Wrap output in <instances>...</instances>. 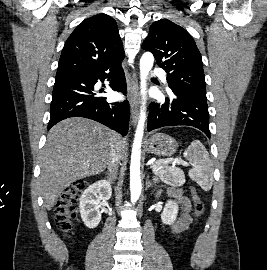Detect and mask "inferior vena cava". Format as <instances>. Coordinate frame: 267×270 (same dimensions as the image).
<instances>
[{
    "label": "inferior vena cava",
    "mask_w": 267,
    "mask_h": 270,
    "mask_svg": "<svg viewBox=\"0 0 267 270\" xmlns=\"http://www.w3.org/2000/svg\"><path fill=\"white\" fill-rule=\"evenodd\" d=\"M121 157H122L121 148L118 145V143H115L111 148V154L108 163V175L110 181H114L116 179L118 163Z\"/></svg>",
    "instance_id": "1"
}]
</instances>
